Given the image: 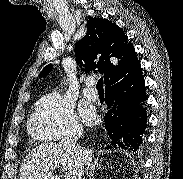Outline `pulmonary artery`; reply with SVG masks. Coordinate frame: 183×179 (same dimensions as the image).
Masks as SVG:
<instances>
[{"instance_id": "obj_1", "label": "pulmonary artery", "mask_w": 183, "mask_h": 179, "mask_svg": "<svg viewBox=\"0 0 183 179\" xmlns=\"http://www.w3.org/2000/svg\"><path fill=\"white\" fill-rule=\"evenodd\" d=\"M94 80L93 79H87L85 81V87L83 89V94L86 98L89 100H96L98 95L97 92L93 89Z\"/></svg>"}]
</instances>
